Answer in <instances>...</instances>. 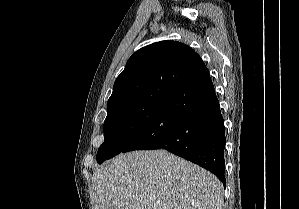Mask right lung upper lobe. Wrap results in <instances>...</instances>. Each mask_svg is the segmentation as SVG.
<instances>
[{
	"mask_svg": "<svg viewBox=\"0 0 299 209\" xmlns=\"http://www.w3.org/2000/svg\"><path fill=\"white\" fill-rule=\"evenodd\" d=\"M208 71L200 56L176 41H161L136 51L117 77L107 110L143 101L164 102L182 85Z\"/></svg>",
	"mask_w": 299,
	"mask_h": 209,
	"instance_id": "right-lung-upper-lobe-1",
	"label": "right lung upper lobe"
}]
</instances>
